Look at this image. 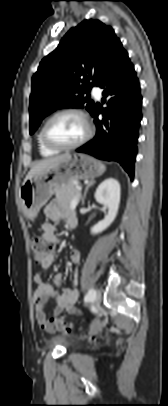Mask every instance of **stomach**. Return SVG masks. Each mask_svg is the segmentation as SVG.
<instances>
[{"instance_id": "0dacf381", "label": "stomach", "mask_w": 168, "mask_h": 406, "mask_svg": "<svg viewBox=\"0 0 168 406\" xmlns=\"http://www.w3.org/2000/svg\"><path fill=\"white\" fill-rule=\"evenodd\" d=\"M106 167L85 154H74L50 169L34 175L23 182L19 197L23 213L35 218L43 205L51 198L55 189L65 187L74 180L93 179L101 176Z\"/></svg>"}]
</instances>
